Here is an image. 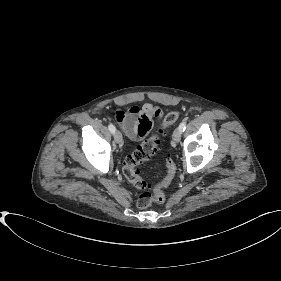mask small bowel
Segmentation results:
<instances>
[{
    "instance_id": "1",
    "label": "small bowel",
    "mask_w": 281,
    "mask_h": 281,
    "mask_svg": "<svg viewBox=\"0 0 281 281\" xmlns=\"http://www.w3.org/2000/svg\"><path fill=\"white\" fill-rule=\"evenodd\" d=\"M162 114L160 108L146 103L142 107L134 106L116 118L128 138L140 140L149 133L154 119L161 118Z\"/></svg>"
}]
</instances>
